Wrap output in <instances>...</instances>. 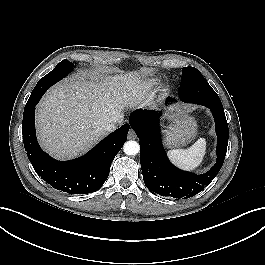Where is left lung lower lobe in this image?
Returning <instances> with one entry per match:
<instances>
[{
	"instance_id": "left-lung-lower-lobe-1",
	"label": "left lung lower lobe",
	"mask_w": 265,
	"mask_h": 265,
	"mask_svg": "<svg viewBox=\"0 0 265 265\" xmlns=\"http://www.w3.org/2000/svg\"><path fill=\"white\" fill-rule=\"evenodd\" d=\"M216 92L210 88H198L180 97L184 102L208 107L215 120L217 162L207 173L196 175L175 167L167 158L160 138L159 120L161 112L135 110L129 123L140 139V163L146 187L154 195L187 199L201 192L220 171L228 145V124L223 107L215 104ZM175 101L167 98V103Z\"/></svg>"
}]
</instances>
